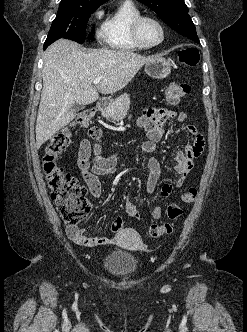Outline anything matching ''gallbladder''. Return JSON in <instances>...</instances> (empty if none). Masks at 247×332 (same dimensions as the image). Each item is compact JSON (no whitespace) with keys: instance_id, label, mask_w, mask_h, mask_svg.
Instances as JSON below:
<instances>
[{"instance_id":"obj_1","label":"gallbladder","mask_w":247,"mask_h":332,"mask_svg":"<svg viewBox=\"0 0 247 332\" xmlns=\"http://www.w3.org/2000/svg\"><path fill=\"white\" fill-rule=\"evenodd\" d=\"M83 108H84V105H80V104H77V103L73 105V110L74 111H79Z\"/></svg>"}]
</instances>
